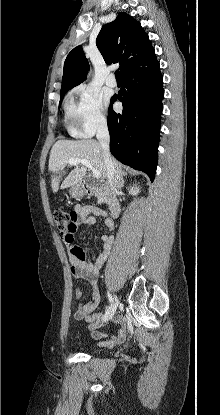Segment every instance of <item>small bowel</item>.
<instances>
[{
	"mask_svg": "<svg viewBox=\"0 0 220 415\" xmlns=\"http://www.w3.org/2000/svg\"><path fill=\"white\" fill-rule=\"evenodd\" d=\"M75 215V220L70 224L68 231L60 232L62 241L69 249V258L71 261V273L75 279H82L87 281L92 287L91 300L86 304H79L74 312L76 320H84L89 323V330L92 336L101 340L99 345L102 347H113L124 342L127 335V327L124 319L121 316L114 318V323L118 329L114 332H102L98 330L100 315L95 313L96 308L100 303V292L98 288L99 271L108 258L113 242L114 222L107 217V213L92 205H77L72 212ZM97 218H104L105 225L108 232L103 234L101 240V252L95 261L88 259V253L83 248L73 245L74 234L80 225L92 226L96 223ZM74 298L80 299L83 295L81 288L74 290Z\"/></svg>",
	"mask_w": 220,
	"mask_h": 415,
	"instance_id": "small-bowel-1",
	"label": "small bowel"
}]
</instances>
